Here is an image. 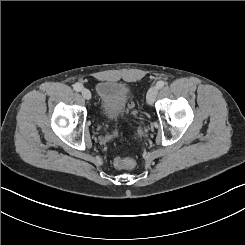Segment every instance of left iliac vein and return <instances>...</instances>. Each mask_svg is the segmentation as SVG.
<instances>
[{"label": "left iliac vein", "mask_w": 245, "mask_h": 245, "mask_svg": "<svg viewBox=\"0 0 245 245\" xmlns=\"http://www.w3.org/2000/svg\"><path fill=\"white\" fill-rule=\"evenodd\" d=\"M157 94H158V89L156 87L150 88L148 92V97H147V103L149 105H152L155 102Z\"/></svg>", "instance_id": "left-iliac-vein-1"}]
</instances>
